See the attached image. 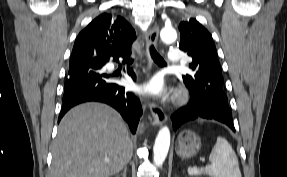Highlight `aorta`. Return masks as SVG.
<instances>
[{
    "instance_id": "1",
    "label": "aorta",
    "mask_w": 287,
    "mask_h": 177,
    "mask_svg": "<svg viewBox=\"0 0 287 177\" xmlns=\"http://www.w3.org/2000/svg\"><path fill=\"white\" fill-rule=\"evenodd\" d=\"M160 37L165 43H172L177 38V33L173 28H163ZM170 147V130L167 126L162 127L155 139L153 147V161L156 166H161L168 154Z\"/></svg>"
}]
</instances>
